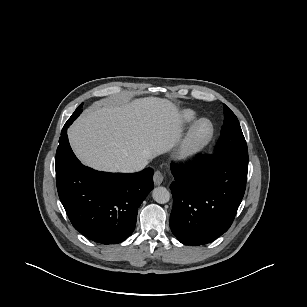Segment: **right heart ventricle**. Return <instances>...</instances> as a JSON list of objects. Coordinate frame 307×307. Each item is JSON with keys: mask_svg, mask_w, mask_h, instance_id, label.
<instances>
[{"mask_svg": "<svg viewBox=\"0 0 307 307\" xmlns=\"http://www.w3.org/2000/svg\"><path fill=\"white\" fill-rule=\"evenodd\" d=\"M196 118L195 112L189 109L184 110L180 115L181 121L186 125L193 123Z\"/></svg>", "mask_w": 307, "mask_h": 307, "instance_id": "right-heart-ventricle-1", "label": "right heart ventricle"}]
</instances>
